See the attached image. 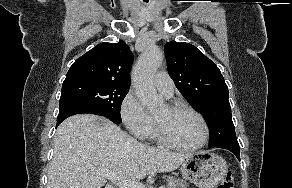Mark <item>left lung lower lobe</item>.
I'll return each instance as SVG.
<instances>
[{
    "label": "left lung lower lobe",
    "instance_id": "1",
    "mask_svg": "<svg viewBox=\"0 0 292 188\" xmlns=\"http://www.w3.org/2000/svg\"><path fill=\"white\" fill-rule=\"evenodd\" d=\"M214 147L227 149L231 151L232 153H234L235 156L238 158V160H240V146L238 144L237 138L224 141L222 143H219L218 145H215ZM214 147H210V148H214Z\"/></svg>",
    "mask_w": 292,
    "mask_h": 188
}]
</instances>
